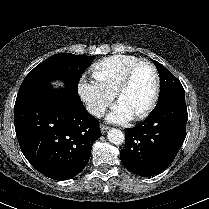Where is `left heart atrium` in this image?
<instances>
[{
  "mask_svg": "<svg viewBox=\"0 0 209 209\" xmlns=\"http://www.w3.org/2000/svg\"><path fill=\"white\" fill-rule=\"evenodd\" d=\"M134 115L122 103L117 102L111 112L108 114L107 119L113 123H127L133 119Z\"/></svg>",
  "mask_w": 209,
  "mask_h": 209,
  "instance_id": "left-heart-atrium-1",
  "label": "left heart atrium"
}]
</instances>
